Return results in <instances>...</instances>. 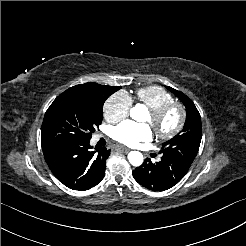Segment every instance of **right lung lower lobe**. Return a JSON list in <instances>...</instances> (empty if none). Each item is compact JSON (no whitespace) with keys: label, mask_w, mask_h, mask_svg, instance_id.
Masks as SVG:
<instances>
[{"label":"right lung lower lobe","mask_w":246,"mask_h":246,"mask_svg":"<svg viewBox=\"0 0 246 246\" xmlns=\"http://www.w3.org/2000/svg\"><path fill=\"white\" fill-rule=\"evenodd\" d=\"M89 141L42 142L45 160L56 178L70 189L84 191L105 175L110 150L91 151Z\"/></svg>","instance_id":"right-lung-lower-lobe-1"}]
</instances>
